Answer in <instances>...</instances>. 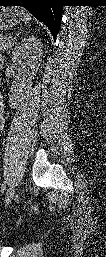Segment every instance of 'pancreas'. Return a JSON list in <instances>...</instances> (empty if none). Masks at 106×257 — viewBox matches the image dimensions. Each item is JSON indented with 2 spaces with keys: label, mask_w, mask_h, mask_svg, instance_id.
<instances>
[{
  "label": "pancreas",
  "mask_w": 106,
  "mask_h": 257,
  "mask_svg": "<svg viewBox=\"0 0 106 257\" xmlns=\"http://www.w3.org/2000/svg\"><path fill=\"white\" fill-rule=\"evenodd\" d=\"M13 45V39L9 36H0V51H7Z\"/></svg>",
  "instance_id": "cf45deb5"
}]
</instances>
